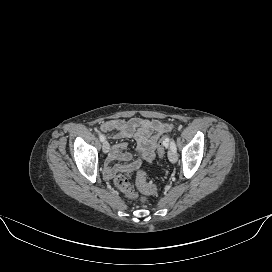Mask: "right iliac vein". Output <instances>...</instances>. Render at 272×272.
<instances>
[{
    "label": "right iliac vein",
    "mask_w": 272,
    "mask_h": 272,
    "mask_svg": "<svg viewBox=\"0 0 272 272\" xmlns=\"http://www.w3.org/2000/svg\"><path fill=\"white\" fill-rule=\"evenodd\" d=\"M109 149H110V145L107 141H104L103 142V145H102V150L104 153H108L109 152Z\"/></svg>",
    "instance_id": "63e3f726"
}]
</instances>
